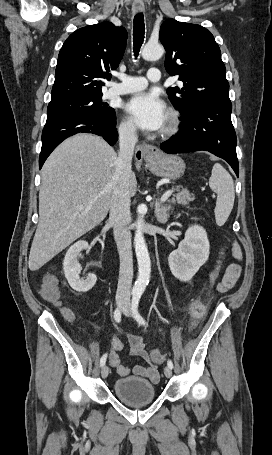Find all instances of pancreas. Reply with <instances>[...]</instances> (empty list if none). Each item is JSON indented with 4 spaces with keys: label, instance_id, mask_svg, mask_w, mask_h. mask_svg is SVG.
I'll return each instance as SVG.
<instances>
[{
    "label": "pancreas",
    "instance_id": "1",
    "mask_svg": "<svg viewBox=\"0 0 272 455\" xmlns=\"http://www.w3.org/2000/svg\"><path fill=\"white\" fill-rule=\"evenodd\" d=\"M177 191H178V193H176L171 200L172 203L177 202L178 204L187 205V204H189V202H191L195 199L194 195L190 194V192L187 189H182L181 191H179V190H177Z\"/></svg>",
    "mask_w": 272,
    "mask_h": 455
}]
</instances>
